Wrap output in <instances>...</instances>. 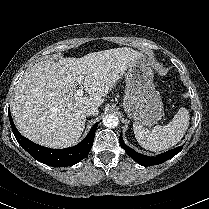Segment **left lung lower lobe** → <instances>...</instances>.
I'll return each mask as SVG.
<instances>
[{
    "mask_svg": "<svg viewBox=\"0 0 209 209\" xmlns=\"http://www.w3.org/2000/svg\"><path fill=\"white\" fill-rule=\"evenodd\" d=\"M119 141H120L121 147L127 152V154L132 159H134L138 164H140L142 166L161 164V163L165 162L166 160L172 158L176 154H178L183 149V146H180L175 149L169 150L165 153H162V154L158 155L157 157H150V156L140 154V153L136 152L135 150H133L132 148L128 147L122 139V133L120 134Z\"/></svg>",
    "mask_w": 209,
    "mask_h": 209,
    "instance_id": "obj_1",
    "label": "left lung lower lobe"
}]
</instances>
